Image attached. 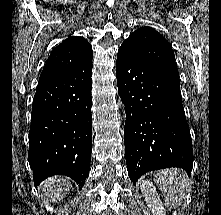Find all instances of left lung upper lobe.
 Returning a JSON list of instances; mask_svg holds the SVG:
<instances>
[{
    "instance_id": "1",
    "label": "left lung upper lobe",
    "mask_w": 221,
    "mask_h": 215,
    "mask_svg": "<svg viewBox=\"0 0 221 215\" xmlns=\"http://www.w3.org/2000/svg\"><path fill=\"white\" fill-rule=\"evenodd\" d=\"M141 59L179 80L174 52L169 42L151 27H141L134 31L122 44Z\"/></svg>"
}]
</instances>
